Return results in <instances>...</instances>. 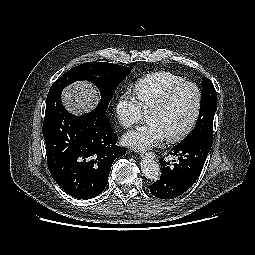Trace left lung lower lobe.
Segmentation results:
<instances>
[{
	"instance_id": "obj_1",
	"label": "left lung lower lobe",
	"mask_w": 255,
	"mask_h": 255,
	"mask_svg": "<svg viewBox=\"0 0 255 255\" xmlns=\"http://www.w3.org/2000/svg\"><path fill=\"white\" fill-rule=\"evenodd\" d=\"M212 146V138L199 137L186 143H179L170 154L178 156L174 166L160 160L162 174L150 185L151 193L160 199H173L186 192L199 177L206 157Z\"/></svg>"
}]
</instances>
